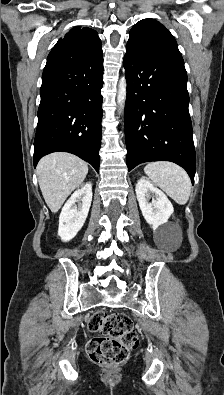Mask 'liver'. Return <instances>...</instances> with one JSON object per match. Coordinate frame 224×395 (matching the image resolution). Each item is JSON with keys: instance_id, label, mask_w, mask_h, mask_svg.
Here are the masks:
<instances>
[{"instance_id": "1", "label": "liver", "mask_w": 224, "mask_h": 395, "mask_svg": "<svg viewBox=\"0 0 224 395\" xmlns=\"http://www.w3.org/2000/svg\"><path fill=\"white\" fill-rule=\"evenodd\" d=\"M87 173V163L69 153H52L39 161L36 174L51 212L56 213L61 208L71 192L83 183Z\"/></svg>"}]
</instances>
